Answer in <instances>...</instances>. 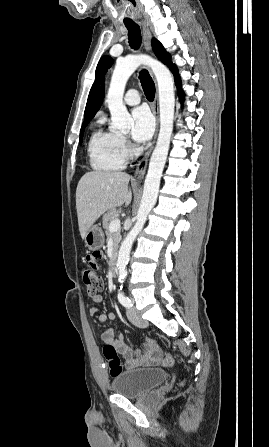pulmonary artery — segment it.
<instances>
[{
	"label": "pulmonary artery",
	"mask_w": 269,
	"mask_h": 447,
	"mask_svg": "<svg viewBox=\"0 0 269 447\" xmlns=\"http://www.w3.org/2000/svg\"><path fill=\"white\" fill-rule=\"evenodd\" d=\"M140 101L141 95L137 89H129L124 96V102L127 105H137Z\"/></svg>",
	"instance_id": "e3ab8cb5"
}]
</instances>
